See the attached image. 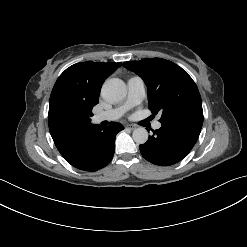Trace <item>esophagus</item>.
<instances>
[{
    "label": "esophagus",
    "instance_id": "34e87169",
    "mask_svg": "<svg viewBox=\"0 0 247 247\" xmlns=\"http://www.w3.org/2000/svg\"><path fill=\"white\" fill-rule=\"evenodd\" d=\"M125 127L130 130H135L137 128V126L134 124H127Z\"/></svg>",
    "mask_w": 247,
    "mask_h": 247
}]
</instances>
